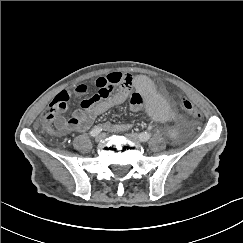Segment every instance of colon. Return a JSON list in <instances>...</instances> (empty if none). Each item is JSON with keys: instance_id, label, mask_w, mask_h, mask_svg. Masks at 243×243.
<instances>
[{"instance_id": "obj_1", "label": "colon", "mask_w": 243, "mask_h": 243, "mask_svg": "<svg viewBox=\"0 0 243 243\" xmlns=\"http://www.w3.org/2000/svg\"><path fill=\"white\" fill-rule=\"evenodd\" d=\"M68 94L65 91L58 93L52 100L50 108L44 113L41 119L42 129L48 133H55L53 123L56 120L58 113L64 110V106L67 108ZM182 108L187 114L193 117H199L200 112L197 107L191 102V98L188 95H183L180 98Z\"/></svg>"}]
</instances>
